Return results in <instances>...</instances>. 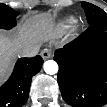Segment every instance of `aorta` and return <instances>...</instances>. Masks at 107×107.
<instances>
[{
    "label": "aorta",
    "mask_w": 107,
    "mask_h": 107,
    "mask_svg": "<svg viewBox=\"0 0 107 107\" xmlns=\"http://www.w3.org/2000/svg\"><path fill=\"white\" fill-rule=\"evenodd\" d=\"M44 71L47 74L53 75L58 72V64L54 60H48L44 62Z\"/></svg>",
    "instance_id": "aorta-1"
}]
</instances>
